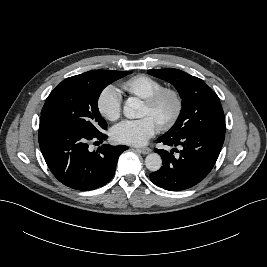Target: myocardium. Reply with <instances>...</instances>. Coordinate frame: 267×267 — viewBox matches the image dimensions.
<instances>
[{
  "label": "myocardium",
  "mask_w": 267,
  "mask_h": 267,
  "mask_svg": "<svg viewBox=\"0 0 267 267\" xmlns=\"http://www.w3.org/2000/svg\"><path fill=\"white\" fill-rule=\"evenodd\" d=\"M171 97L174 103V109L171 115L158 126L161 130L171 129L179 120L183 110V99L180 92L173 87H162L148 98L144 99V104L151 110L156 109L165 97Z\"/></svg>",
  "instance_id": "1"
}]
</instances>
